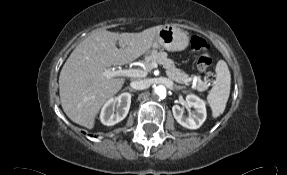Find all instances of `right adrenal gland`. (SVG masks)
Listing matches in <instances>:
<instances>
[{
    "mask_svg": "<svg viewBox=\"0 0 287 175\" xmlns=\"http://www.w3.org/2000/svg\"><path fill=\"white\" fill-rule=\"evenodd\" d=\"M126 89L129 90L130 92H135V90H133V89L130 88V87H127Z\"/></svg>",
    "mask_w": 287,
    "mask_h": 175,
    "instance_id": "obj_1",
    "label": "right adrenal gland"
}]
</instances>
